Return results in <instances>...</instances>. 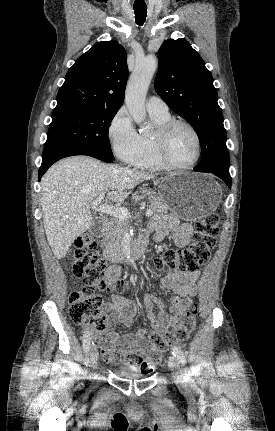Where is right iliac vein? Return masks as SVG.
<instances>
[{
	"label": "right iliac vein",
	"mask_w": 275,
	"mask_h": 431,
	"mask_svg": "<svg viewBox=\"0 0 275 431\" xmlns=\"http://www.w3.org/2000/svg\"><path fill=\"white\" fill-rule=\"evenodd\" d=\"M89 355H90L91 365L95 367L98 360V347L96 345L91 346Z\"/></svg>",
	"instance_id": "right-iliac-vein-1"
}]
</instances>
